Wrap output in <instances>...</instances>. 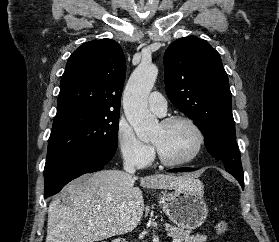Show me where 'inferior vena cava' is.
<instances>
[{
  "instance_id": "inferior-vena-cava-1",
  "label": "inferior vena cava",
  "mask_w": 279,
  "mask_h": 242,
  "mask_svg": "<svg viewBox=\"0 0 279 242\" xmlns=\"http://www.w3.org/2000/svg\"><path fill=\"white\" fill-rule=\"evenodd\" d=\"M123 168H124V170H125L127 173H129V174H134V173H135L134 164L131 163V162H128V161L124 162Z\"/></svg>"
}]
</instances>
